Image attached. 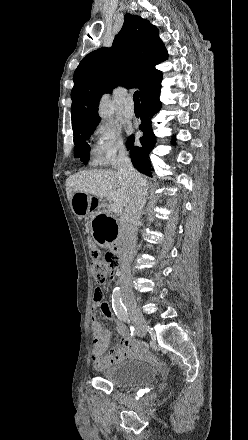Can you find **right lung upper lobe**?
Listing matches in <instances>:
<instances>
[{
  "instance_id": "right-lung-upper-lobe-1",
  "label": "right lung upper lobe",
  "mask_w": 248,
  "mask_h": 440,
  "mask_svg": "<svg viewBox=\"0 0 248 440\" xmlns=\"http://www.w3.org/2000/svg\"><path fill=\"white\" fill-rule=\"evenodd\" d=\"M158 29L146 19L127 13L111 48H100L82 59L71 91L73 134L93 130L100 122L98 102L117 85L138 88L141 100L160 90L162 72L155 68L167 58Z\"/></svg>"
}]
</instances>
